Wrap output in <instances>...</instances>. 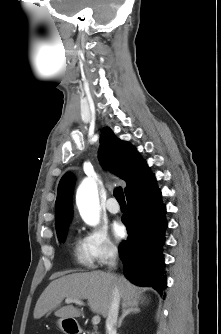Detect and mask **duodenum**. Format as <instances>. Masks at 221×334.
<instances>
[{
  "label": "duodenum",
  "mask_w": 221,
  "mask_h": 334,
  "mask_svg": "<svg viewBox=\"0 0 221 334\" xmlns=\"http://www.w3.org/2000/svg\"><path fill=\"white\" fill-rule=\"evenodd\" d=\"M67 332L71 334H85L83 333V331L78 330V329H70V330H67Z\"/></svg>",
  "instance_id": "410a0bca"
}]
</instances>
